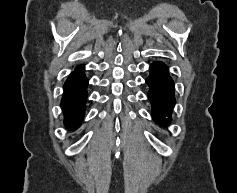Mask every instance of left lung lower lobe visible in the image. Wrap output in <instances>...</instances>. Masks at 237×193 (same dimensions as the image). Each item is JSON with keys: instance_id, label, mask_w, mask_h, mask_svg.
I'll return each instance as SVG.
<instances>
[{"instance_id": "obj_1", "label": "left lung lower lobe", "mask_w": 237, "mask_h": 193, "mask_svg": "<svg viewBox=\"0 0 237 193\" xmlns=\"http://www.w3.org/2000/svg\"><path fill=\"white\" fill-rule=\"evenodd\" d=\"M146 83L150 87L148 98L152 105L153 119L162 126L168 124L175 105V97L174 83L168 74L167 66L162 62L151 64Z\"/></svg>"}]
</instances>
